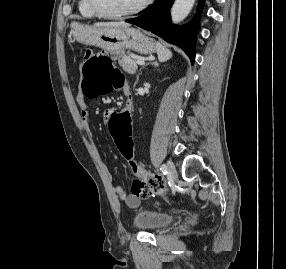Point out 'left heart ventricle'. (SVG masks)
I'll use <instances>...</instances> for the list:
<instances>
[{
	"label": "left heart ventricle",
	"instance_id": "left-heart-ventricle-1",
	"mask_svg": "<svg viewBox=\"0 0 286 269\" xmlns=\"http://www.w3.org/2000/svg\"><path fill=\"white\" fill-rule=\"evenodd\" d=\"M144 0H96L97 6L104 12L117 14L130 11Z\"/></svg>",
	"mask_w": 286,
	"mask_h": 269
}]
</instances>
